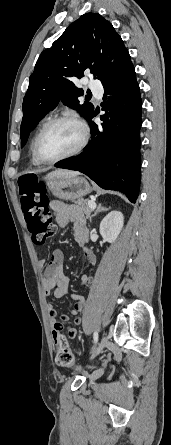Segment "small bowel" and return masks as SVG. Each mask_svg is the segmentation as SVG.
Returning a JSON list of instances; mask_svg holds the SVG:
<instances>
[{
	"instance_id": "obj_1",
	"label": "small bowel",
	"mask_w": 171,
	"mask_h": 445,
	"mask_svg": "<svg viewBox=\"0 0 171 445\" xmlns=\"http://www.w3.org/2000/svg\"><path fill=\"white\" fill-rule=\"evenodd\" d=\"M50 207L54 214V221L57 226H66L69 222L73 224L76 241L82 249L84 256L86 257L87 264L92 268L95 264V256L91 249L87 245L86 237V222L81 211L73 206H70L62 201L53 200L50 202ZM64 253L61 249H55L49 260L42 259L38 262V267L41 270V285L44 295L50 297L53 295L55 298H63L68 294L69 279L65 275L63 270ZM92 283V278L88 275H83L81 278V284L88 286ZM71 298L75 301L73 307L70 310L72 315L80 313L85 305L84 297L71 294ZM47 312L49 322L52 327V337L54 341H57L61 330L63 329V322L68 321V316L63 314L58 320V314L53 305H47ZM82 323L81 318H75L74 326L67 329L68 335L71 338H76L78 335L79 327Z\"/></svg>"
}]
</instances>
